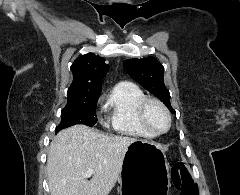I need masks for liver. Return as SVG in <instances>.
Segmentation results:
<instances>
[{
	"instance_id": "obj_1",
	"label": "liver",
	"mask_w": 240,
	"mask_h": 195,
	"mask_svg": "<svg viewBox=\"0 0 240 195\" xmlns=\"http://www.w3.org/2000/svg\"><path fill=\"white\" fill-rule=\"evenodd\" d=\"M135 137L106 135L88 125L58 131L47 159L51 195H108L114 187ZM94 169L90 181L84 173Z\"/></svg>"
}]
</instances>
